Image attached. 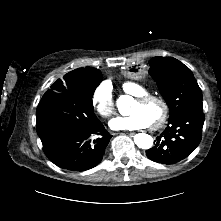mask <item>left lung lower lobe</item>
I'll return each instance as SVG.
<instances>
[{
	"label": "left lung lower lobe",
	"instance_id": "0a47b994",
	"mask_svg": "<svg viewBox=\"0 0 221 221\" xmlns=\"http://www.w3.org/2000/svg\"><path fill=\"white\" fill-rule=\"evenodd\" d=\"M204 120L203 108L184 112L169 120L164 132L156 138L155 146L146 151L147 157L154 162L167 165L185 159L201 141ZM172 142L176 143V151L173 156L167 158L168 156L164 155V148Z\"/></svg>",
	"mask_w": 221,
	"mask_h": 221
}]
</instances>
